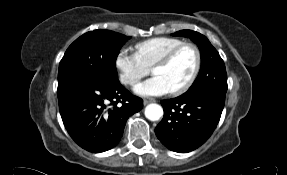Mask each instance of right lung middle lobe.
Instances as JSON below:
<instances>
[{
    "mask_svg": "<svg viewBox=\"0 0 287 175\" xmlns=\"http://www.w3.org/2000/svg\"><path fill=\"white\" fill-rule=\"evenodd\" d=\"M131 37L109 30L90 31L76 39L59 64L58 84L72 79H91L117 84L116 58Z\"/></svg>",
    "mask_w": 287,
    "mask_h": 175,
    "instance_id": "right-lung-middle-lobe-1",
    "label": "right lung middle lobe"
}]
</instances>
